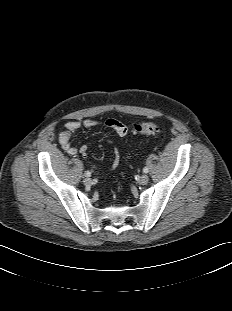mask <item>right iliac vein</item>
Returning a JSON list of instances; mask_svg holds the SVG:
<instances>
[{"instance_id": "1", "label": "right iliac vein", "mask_w": 232, "mask_h": 311, "mask_svg": "<svg viewBox=\"0 0 232 311\" xmlns=\"http://www.w3.org/2000/svg\"><path fill=\"white\" fill-rule=\"evenodd\" d=\"M83 183L87 186L92 184V179L89 177L84 178Z\"/></svg>"}]
</instances>
